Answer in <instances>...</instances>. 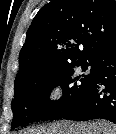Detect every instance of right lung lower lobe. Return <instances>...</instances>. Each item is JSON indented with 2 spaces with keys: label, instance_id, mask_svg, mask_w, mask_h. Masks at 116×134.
<instances>
[{
  "label": "right lung lower lobe",
  "instance_id": "right-lung-lower-lobe-1",
  "mask_svg": "<svg viewBox=\"0 0 116 134\" xmlns=\"http://www.w3.org/2000/svg\"><path fill=\"white\" fill-rule=\"evenodd\" d=\"M91 63L94 76L79 100L53 118L106 119L116 124V44L96 54Z\"/></svg>",
  "mask_w": 116,
  "mask_h": 134
}]
</instances>
